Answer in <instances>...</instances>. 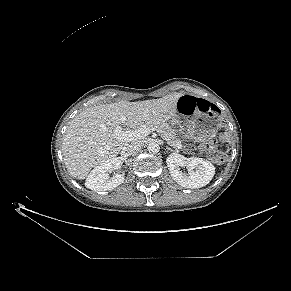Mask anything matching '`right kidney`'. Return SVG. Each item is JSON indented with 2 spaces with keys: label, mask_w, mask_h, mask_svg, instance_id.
<instances>
[{
  "label": "right kidney",
  "mask_w": 291,
  "mask_h": 291,
  "mask_svg": "<svg viewBox=\"0 0 291 291\" xmlns=\"http://www.w3.org/2000/svg\"><path fill=\"white\" fill-rule=\"evenodd\" d=\"M121 165V159L119 157H115L96 166L88 175L85 186L97 192L113 190L123 183L124 176L117 173L110 177L109 173L120 169Z\"/></svg>",
  "instance_id": "1"
}]
</instances>
